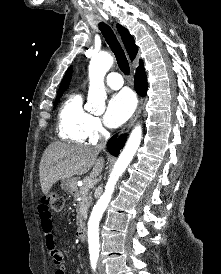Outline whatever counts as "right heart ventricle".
<instances>
[{"label":"right heart ventricle","instance_id":"right-heart-ventricle-1","mask_svg":"<svg viewBox=\"0 0 221 274\" xmlns=\"http://www.w3.org/2000/svg\"><path fill=\"white\" fill-rule=\"evenodd\" d=\"M91 114L83 107L82 96L70 94L62 103L58 113L59 136L69 142L83 143L88 138Z\"/></svg>","mask_w":221,"mask_h":274}]
</instances>
